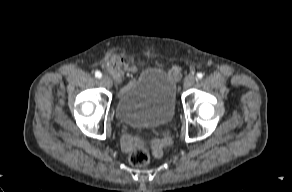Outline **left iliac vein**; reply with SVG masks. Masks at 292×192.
Wrapping results in <instances>:
<instances>
[{"label":"left iliac vein","mask_w":292,"mask_h":192,"mask_svg":"<svg viewBox=\"0 0 292 192\" xmlns=\"http://www.w3.org/2000/svg\"><path fill=\"white\" fill-rule=\"evenodd\" d=\"M195 76L194 75H187L184 79V88H189L195 83Z\"/></svg>","instance_id":"left-iliac-vein-1"}]
</instances>
